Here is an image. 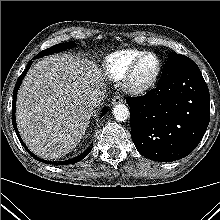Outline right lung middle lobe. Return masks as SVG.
<instances>
[{
	"label": "right lung middle lobe",
	"mask_w": 220,
	"mask_h": 220,
	"mask_svg": "<svg viewBox=\"0 0 220 220\" xmlns=\"http://www.w3.org/2000/svg\"><path fill=\"white\" fill-rule=\"evenodd\" d=\"M73 46H75V44L73 42H65V43L56 44L55 46L50 47V48L40 52L34 58H39V57H42V56L53 54V53L62 51L64 49H67V48H70V47H73Z\"/></svg>",
	"instance_id": "right-lung-middle-lobe-1"
}]
</instances>
